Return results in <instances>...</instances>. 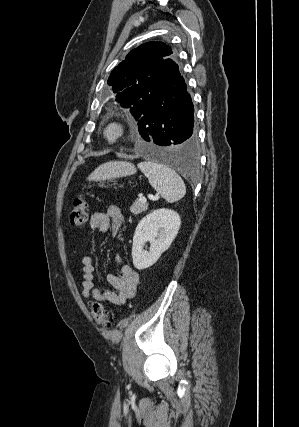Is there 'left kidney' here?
Here are the masks:
<instances>
[{"mask_svg":"<svg viewBox=\"0 0 299 427\" xmlns=\"http://www.w3.org/2000/svg\"><path fill=\"white\" fill-rule=\"evenodd\" d=\"M180 225L178 213L166 208L154 210L142 218L133 237L132 258L135 268L143 270L156 263L172 244ZM147 242H150L148 252L143 249Z\"/></svg>","mask_w":299,"mask_h":427,"instance_id":"1","label":"left kidney"}]
</instances>
